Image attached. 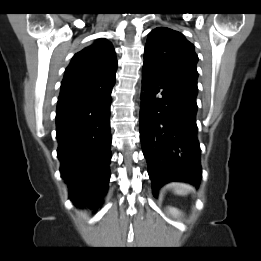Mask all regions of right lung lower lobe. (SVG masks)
Returning <instances> with one entry per match:
<instances>
[{"label":"right lung lower lobe","instance_id":"right-lung-lower-lobe-1","mask_svg":"<svg viewBox=\"0 0 261 261\" xmlns=\"http://www.w3.org/2000/svg\"><path fill=\"white\" fill-rule=\"evenodd\" d=\"M114 86V85H113ZM59 98L56 111L60 173L78 207L95 206L107 191L111 160L112 88Z\"/></svg>","mask_w":261,"mask_h":261}]
</instances>
